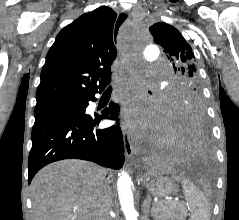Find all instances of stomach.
Listing matches in <instances>:
<instances>
[{
    "label": "stomach",
    "mask_w": 239,
    "mask_h": 220,
    "mask_svg": "<svg viewBox=\"0 0 239 220\" xmlns=\"http://www.w3.org/2000/svg\"><path fill=\"white\" fill-rule=\"evenodd\" d=\"M146 187L156 197H166L178 192L176 184L168 178H149V183H146Z\"/></svg>",
    "instance_id": "stomach-1"
}]
</instances>
